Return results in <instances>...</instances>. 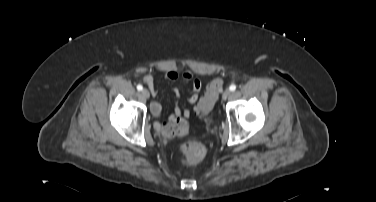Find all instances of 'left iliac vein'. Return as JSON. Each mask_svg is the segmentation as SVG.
I'll return each mask as SVG.
<instances>
[{"label": "left iliac vein", "instance_id": "left-iliac-vein-1", "mask_svg": "<svg viewBox=\"0 0 376 202\" xmlns=\"http://www.w3.org/2000/svg\"><path fill=\"white\" fill-rule=\"evenodd\" d=\"M231 95V91L229 89H226L223 94H222V98L224 100H226L229 96Z\"/></svg>", "mask_w": 376, "mask_h": 202}]
</instances>
